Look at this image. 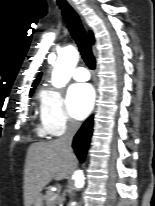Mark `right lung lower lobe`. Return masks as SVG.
<instances>
[{
  "label": "right lung lower lobe",
  "mask_w": 155,
  "mask_h": 206,
  "mask_svg": "<svg viewBox=\"0 0 155 206\" xmlns=\"http://www.w3.org/2000/svg\"><path fill=\"white\" fill-rule=\"evenodd\" d=\"M93 132V115L90 116L84 124L81 126L80 130L74 137L73 148L77 157L80 161H84L88 146L90 143V138Z\"/></svg>",
  "instance_id": "98d812e1"
}]
</instances>
